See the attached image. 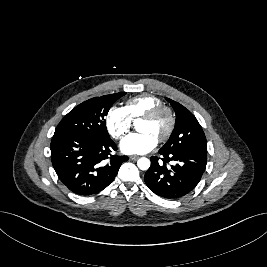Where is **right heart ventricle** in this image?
I'll return each mask as SVG.
<instances>
[{
    "label": "right heart ventricle",
    "mask_w": 267,
    "mask_h": 267,
    "mask_svg": "<svg viewBox=\"0 0 267 267\" xmlns=\"http://www.w3.org/2000/svg\"><path fill=\"white\" fill-rule=\"evenodd\" d=\"M159 105H162V101L159 98L153 95L142 94L127 100L124 109L131 120H136Z\"/></svg>",
    "instance_id": "obj_1"
}]
</instances>
